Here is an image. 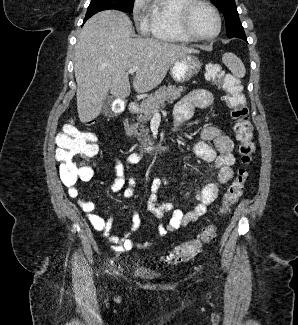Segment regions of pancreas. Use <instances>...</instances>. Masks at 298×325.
<instances>
[{
    "label": "pancreas",
    "instance_id": "pancreas-1",
    "mask_svg": "<svg viewBox=\"0 0 298 325\" xmlns=\"http://www.w3.org/2000/svg\"><path fill=\"white\" fill-rule=\"evenodd\" d=\"M185 88L186 86H177V84L159 86V88H157L153 94H150L148 98L141 100L139 114L137 116L138 122L129 126L127 130L128 134H135L137 140H139L141 144H153L151 136H148L149 128H146L144 122H146V120H151L157 106H159V108L160 106L161 108H164L167 102H174V100L180 98Z\"/></svg>",
    "mask_w": 298,
    "mask_h": 325
}]
</instances>
